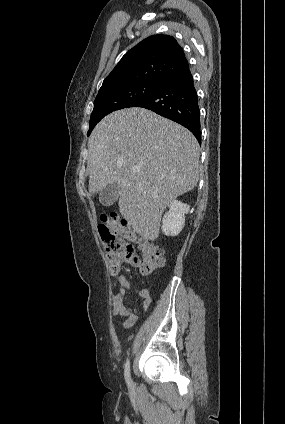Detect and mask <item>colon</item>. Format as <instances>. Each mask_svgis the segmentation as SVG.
Masks as SVG:
<instances>
[{
	"mask_svg": "<svg viewBox=\"0 0 285 424\" xmlns=\"http://www.w3.org/2000/svg\"><path fill=\"white\" fill-rule=\"evenodd\" d=\"M98 232L105 244L106 255L113 274L123 265L135 267L143 276H151L165 264L162 250L138 236L131 226L117 215H105L98 224ZM130 242H138L142 256L135 254Z\"/></svg>",
	"mask_w": 285,
	"mask_h": 424,
	"instance_id": "5ec220e1",
	"label": "colon"
}]
</instances>
